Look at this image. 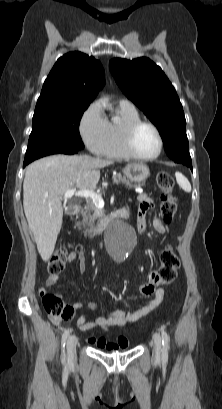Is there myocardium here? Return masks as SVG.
Masks as SVG:
<instances>
[{
    "label": "myocardium",
    "instance_id": "f54148a6",
    "mask_svg": "<svg viewBox=\"0 0 222 409\" xmlns=\"http://www.w3.org/2000/svg\"><path fill=\"white\" fill-rule=\"evenodd\" d=\"M142 126H149L151 127L155 133L157 134L158 137V141H159V147L157 152L154 155L151 156H143L140 155L134 147V136L135 133L137 132V130L142 127ZM123 146L126 150V152L129 154V156L131 158L137 159V160H141V161H151L154 160L156 158H158L162 151H163V147H164V140H163V136L161 131L159 130V128L152 122L150 121H146V120H137L134 121L132 123H130L124 130L123 133Z\"/></svg>",
    "mask_w": 222,
    "mask_h": 409
}]
</instances>
